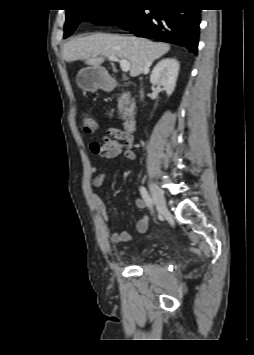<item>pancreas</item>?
I'll return each mask as SVG.
<instances>
[{
    "label": "pancreas",
    "instance_id": "pancreas-1",
    "mask_svg": "<svg viewBox=\"0 0 254 355\" xmlns=\"http://www.w3.org/2000/svg\"><path fill=\"white\" fill-rule=\"evenodd\" d=\"M117 107L119 114L121 115V119H125L134 107V100L131 98L129 93H122L120 95Z\"/></svg>",
    "mask_w": 254,
    "mask_h": 355
}]
</instances>
